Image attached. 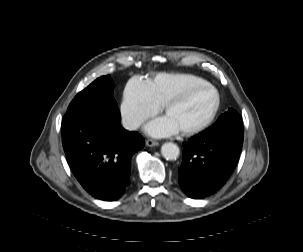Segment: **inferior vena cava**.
I'll list each match as a JSON object with an SVG mask.
<instances>
[{
	"mask_svg": "<svg viewBox=\"0 0 303 252\" xmlns=\"http://www.w3.org/2000/svg\"><path fill=\"white\" fill-rule=\"evenodd\" d=\"M142 121L131 118V117H123L122 118V125L126 130L133 131L140 127Z\"/></svg>",
	"mask_w": 303,
	"mask_h": 252,
	"instance_id": "1",
	"label": "inferior vena cava"
}]
</instances>
